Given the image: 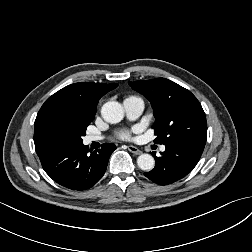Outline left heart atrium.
Segmentation results:
<instances>
[{
    "mask_svg": "<svg viewBox=\"0 0 252 252\" xmlns=\"http://www.w3.org/2000/svg\"><path fill=\"white\" fill-rule=\"evenodd\" d=\"M119 136L122 138V139H130L131 138V132L130 131H122Z\"/></svg>",
    "mask_w": 252,
    "mask_h": 252,
    "instance_id": "obj_1",
    "label": "left heart atrium"
}]
</instances>
